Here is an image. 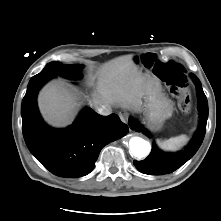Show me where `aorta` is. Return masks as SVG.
Instances as JSON below:
<instances>
[{
	"label": "aorta",
	"instance_id": "762f6f07",
	"mask_svg": "<svg viewBox=\"0 0 221 221\" xmlns=\"http://www.w3.org/2000/svg\"><path fill=\"white\" fill-rule=\"evenodd\" d=\"M129 147L131 153L137 158L146 157L151 149L150 143L141 137L131 138Z\"/></svg>",
	"mask_w": 221,
	"mask_h": 221
}]
</instances>
